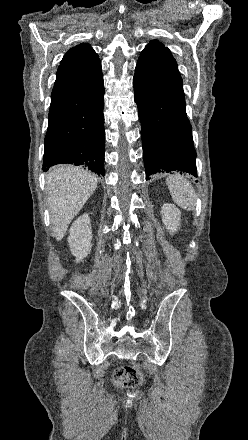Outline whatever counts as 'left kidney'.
<instances>
[{
    "mask_svg": "<svg viewBox=\"0 0 248 440\" xmlns=\"http://www.w3.org/2000/svg\"><path fill=\"white\" fill-rule=\"evenodd\" d=\"M162 222L170 233L177 232L180 226V210L173 204L166 203L161 208Z\"/></svg>",
    "mask_w": 248,
    "mask_h": 440,
    "instance_id": "left-kidney-1",
    "label": "left kidney"
}]
</instances>
